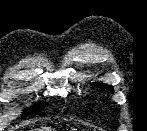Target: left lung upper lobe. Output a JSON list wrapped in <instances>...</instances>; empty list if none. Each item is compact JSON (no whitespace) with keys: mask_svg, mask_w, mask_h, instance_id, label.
<instances>
[{"mask_svg":"<svg viewBox=\"0 0 147 131\" xmlns=\"http://www.w3.org/2000/svg\"><path fill=\"white\" fill-rule=\"evenodd\" d=\"M94 86L101 87V88H109L110 91H113V86H110V85H105V84H101V83H95Z\"/></svg>","mask_w":147,"mask_h":131,"instance_id":"1","label":"left lung upper lobe"}]
</instances>
